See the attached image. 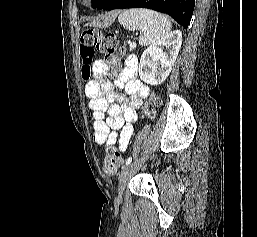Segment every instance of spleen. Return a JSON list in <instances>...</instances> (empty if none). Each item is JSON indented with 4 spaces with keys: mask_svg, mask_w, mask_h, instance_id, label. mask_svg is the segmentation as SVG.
<instances>
[{
    "mask_svg": "<svg viewBox=\"0 0 257 237\" xmlns=\"http://www.w3.org/2000/svg\"><path fill=\"white\" fill-rule=\"evenodd\" d=\"M118 21L130 31H141L139 44L142 46L157 42L171 30V22L165 16L148 9L126 10L119 15Z\"/></svg>",
    "mask_w": 257,
    "mask_h": 237,
    "instance_id": "obj_1",
    "label": "spleen"
}]
</instances>
